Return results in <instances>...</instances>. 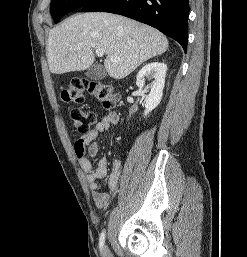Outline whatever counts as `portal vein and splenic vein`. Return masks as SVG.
Here are the masks:
<instances>
[{"label": "portal vein and splenic vein", "instance_id": "portal-vein-and-splenic-vein-1", "mask_svg": "<svg viewBox=\"0 0 247 257\" xmlns=\"http://www.w3.org/2000/svg\"><path fill=\"white\" fill-rule=\"evenodd\" d=\"M96 55L97 56H103L104 55V52L102 51V50H100V49H96ZM111 59V61H119V58H117V57H111L110 58Z\"/></svg>", "mask_w": 247, "mask_h": 257}]
</instances>
